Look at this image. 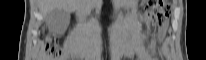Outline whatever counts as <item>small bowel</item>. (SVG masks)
<instances>
[{
	"label": "small bowel",
	"mask_w": 206,
	"mask_h": 60,
	"mask_svg": "<svg viewBox=\"0 0 206 60\" xmlns=\"http://www.w3.org/2000/svg\"><path fill=\"white\" fill-rule=\"evenodd\" d=\"M165 32H166V26L163 25V26H161L160 29H159V33H158L159 39H162V38H163Z\"/></svg>",
	"instance_id": "c3829d8e"
}]
</instances>
